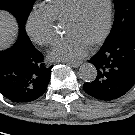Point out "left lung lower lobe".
I'll use <instances>...</instances> for the list:
<instances>
[{
  "label": "left lung lower lobe",
  "instance_id": "1",
  "mask_svg": "<svg viewBox=\"0 0 135 135\" xmlns=\"http://www.w3.org/2000/svg\"><path fill=\"white\" fill-rule=\"evenodd\" d=\"M89 62L95 65L97 76L83 85L87 94L104 101L125 95L135 84V29L123 38L105 42Z\"/></svg>",
  "mask_w": 135,
  "mask_h": 135
}]
</instances>
